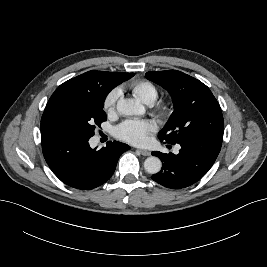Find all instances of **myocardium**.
Returning <instances> with one entry per match:
<instances>
[{
	"mask_svg": "<svg viewBox=\"0 0 267 267\" xmlns=\"http://www.w3.org/2000/svg\"><path fill=\"white\" fill-rule=\"evenodd\" d=\"M156 116L162 120L167 119L171 113V106L167 102H159L154 110Z\"/></svg>",
	"mask_w": 267,
	"mask_h": 267,
	"instance_id": "1",
	"label": "myocardium"
}]
</instances>
